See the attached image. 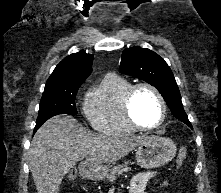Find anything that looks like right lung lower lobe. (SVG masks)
Instances as JSON below:
<instances>
[{"mask_svg":"<svg viewBox=\"0 0 221 193\" xmlns=\"http://www.w3.org/2000/svg\"><path fill=\"white\" fill-rule=\"evenodd\" d=\"M41 125H36L35 128H34V133L38 130V128L40 127Z\"/></svg>","mask_w":221,"mask_h":193,"instance_id":"right-lung-lower-lobe-1","label":"right lung lower lobe"}]
</instances>
